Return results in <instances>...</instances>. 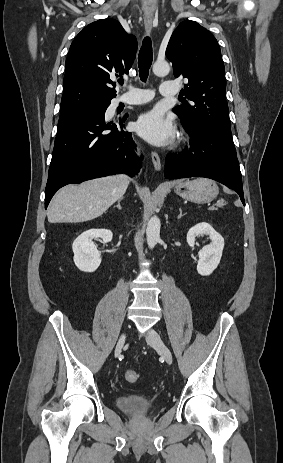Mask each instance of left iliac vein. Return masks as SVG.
<instances>
[{"label":"left iliac vein","instance_id":"1","mask_svg":"<svg viewBox=\"0 0 283 463\" xmlns=\"http://www.w3.org/2000/svg\"><path fill=\"white\" fill-rule=\"evenodd\" d=\"M147 343L155 348L165 359L167 364H172L173 358L170 349L165 345L160 335L153 329H150L146 336Z\"/></svg>","mask_w":283,"mask_h":463}]
</instances>
